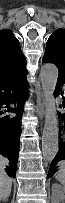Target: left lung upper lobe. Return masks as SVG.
Listing matches in <instances>:
<instances>
[{
  "mask_svg": "<svg viewBox=\"0 0 65 203\" xmlns=\"http://www.w3.org/2000/svg\"><path fill=\"white\" fill-rule=\"evenodd\" d=\"M43 59L57 66L59 72L65 73V30L58 29L47 40Z\"/></svg>",
  "mask_w": 65,
  "mask_h": 203,
  "instance_id": "left-lung-upper-lobe-1",
  "label": "left lung upper lobe"
}]
</instances>
